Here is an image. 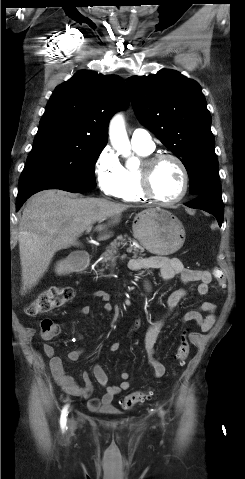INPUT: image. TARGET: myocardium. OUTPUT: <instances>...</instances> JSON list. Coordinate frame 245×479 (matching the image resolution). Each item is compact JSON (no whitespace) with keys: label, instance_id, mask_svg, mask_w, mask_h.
<instances>
[{"label":"myocardium","instance_id":"f54148a6","mask_svg":"<svg viewBox=\"0 0 245 479\" xmlns=\"http://www.w3.org/2000/svg\"><path fill=\"white\" fill-rule=\"evenodd\" d=\"M164 160H171L175 162L178 165L183 178L182 190L180 194L172 200L161 199L156 194L152 186L153 173L156 167L158 166V164ZM139 174H140L139 183H140L141 192L148 200L154 203H157L159 205L171 206V205L177 204L184 199V197L186 196L188 192L189 182H190L188 169L185 163L183 162V160L175 154L157 153L147 157L139 169Z\"/></svg>","mask_w":245,"mask_h":479}]
</instances>
